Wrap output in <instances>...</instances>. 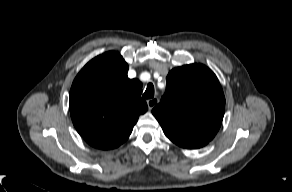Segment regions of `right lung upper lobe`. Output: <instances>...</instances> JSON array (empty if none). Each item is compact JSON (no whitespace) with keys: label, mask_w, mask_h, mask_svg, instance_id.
Wrapping results in <instances>:
<instances>
[{"label":"right lung upper lobe","mask_w":292,"mask_h":192,"mask_svg":"<svg viewBox=\"0 0 292 192\" xmlns=\"http://www.w3.org/2000/svg\"><path fill=\"white\" fill-rule=\"evenodd\" d=\"M128 65L110 51L88 62L73 81L69 108L78 133L99 149L120 146L147 111L142 83L127 76Z\"/></svg>","instance_id":"1"}]
</instances>
